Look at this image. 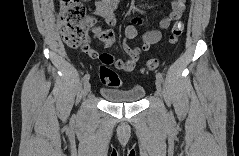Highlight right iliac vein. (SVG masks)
Wrapping results in <instances>:
<instances>
[{
    "instance_id": "right-iliac-vein-1",
    "label": "right iliac vein",
    "mask_w": 239,
    "mask_h": 156,
    "mask_svg": "<svg viewBox=\"0 0 239 156\" xmlns=\"http://www.w3.org/2000/svg\"><path fill=\"white\" fill-rule=\"evenodd\" d=\"M91 91V85L89 82L85 83L84 87H83V96H86L90 93Z\"/></svg>"
}]
</instances>
